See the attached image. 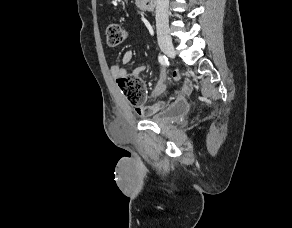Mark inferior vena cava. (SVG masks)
<instances>
[{"label": "inferior vena cava", "instance_id": "inferior-vena-cava-1", "mask_svg": "<svg viewBox=\"0 0 292 228\" xmlns=\"http://www.w3.org/2000/svg\"><path fill=\"white\" fill-rule=\"evenodd\" d=\"M168 6L169 0H156V28L158 42L167 41L170 39Z\"/></svg>", "mask_w": 292, "mask_h": 228}]
</instances>
